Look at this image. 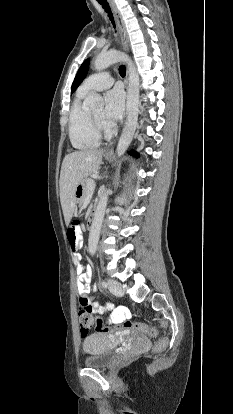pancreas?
Masks as SVG:
<instances>
[{"instance_id":"obj_1","label":"pancreas","mask_w":233,"mask_h":414,"mask_svg":"<svg viewBox=\"0 0 233 414\" xmlns=\"http://www.w3.org/2000/svg\"><path fill=\"white\" fill-rule=\"evenodd\" d=\"M92 180L91 178H85L84 183V197H86L88 194H90L91 190L88 188V182Z\"/></svg>"}]
</instances>
